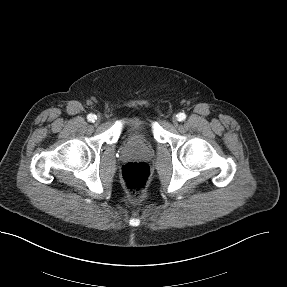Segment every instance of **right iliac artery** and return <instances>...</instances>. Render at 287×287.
Here are the masks:
<instances>
[{
  "instance_id": "right-iliac-artery-1",
  "label": "right iliac artery",
  "mask_w": 287,
  "mask_h": 287,
  "mask_svg": "<svg viewBox=\"0 0 287 287\" xmlns=\"http://www.w3.org/2000/svg\"><path fill=\"white\" fill-rule=\"evenodd\" d=\"M87 119H88V121H90V122H94V121L96 120V115H94V114H89V115L87 116Z\"/></svg>"
}]
</instances>
